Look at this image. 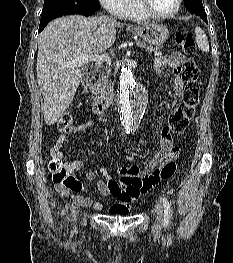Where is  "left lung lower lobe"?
<instances>
[{
	"label": "left lung lower lobe",
	"mask_w": 233,
	"mask_h": 263,
	"mask_svg": "<svg viewBox=\"0 0 233 263\" xmlns=\"http://www.w3.org/2000/svg\"><path fill=\"white\" fill-rule=\"evenodd\" d=\"M201 18H202L206 23H208V22H207V15H203Z\"/></svg>",
	"instance_id": "0a47b994"
}]
</instances>
